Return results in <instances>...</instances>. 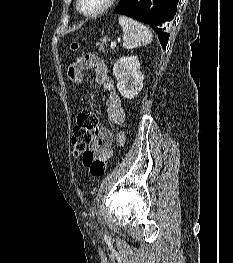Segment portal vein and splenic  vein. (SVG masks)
Listing matches in <instances>:
<instances>
[{
	"mask_svg": "<svg viewBox=\"0 0 233 263\" xmlns=\"http://www.w3.org/2000/svg\"><path fill=\"white\" fill-rule=\"evenodd\" d=\"M110 47H111V49H114L116 47V42L112 41Z\"/></svg>",
	"mask_w": 233,
	"mask_h": 263,
	"instance_id": "portal-vein-and-splenic-vein-1",
	"label": "portal vein and splenic vein"
}]
</instances>
